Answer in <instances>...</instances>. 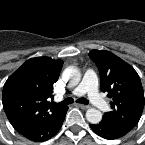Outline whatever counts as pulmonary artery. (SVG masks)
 <instances>
[{
	"instance_id": "obj_1",
	"label": "pulmonary artery",
	"mask_w": 145,
	"mask_h": 145,
	"mask_svg": "<svg viewBox=\"0 0 145 145\" xmlns=\"http://www.w3.org/2000/svg\"><path fill=\"white\" fill-rule=\"evenodd\" d=\"M74 95L86 94L89 100L98 109L109 111V104L99 92L97 73L93 68H89L81 81V83L74 89Z\"/></svg>"
}]
</instances>
